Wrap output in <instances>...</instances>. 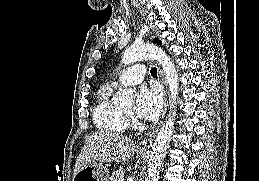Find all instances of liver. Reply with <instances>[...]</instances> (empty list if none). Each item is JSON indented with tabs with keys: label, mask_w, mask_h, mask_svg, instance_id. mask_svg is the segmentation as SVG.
Segmentation results:
<instances>
[{
	"label": "liver",
	"mask_w": 259,
	"mask_h": 181,
	"mask_svg": "<svg viewBox=\"0 0 259 181\" xmlns=\"http://www.w3.org/2000/svg\"><path fill=\"white\" fill-rule=\"evenodd\" d=\"M136 151V144L129 138L112 132H97L90 135L78 156L74 175L87 164L128 161Z\"/></svg>",
	"instance_id": "liver-1"
}]
</instances>
